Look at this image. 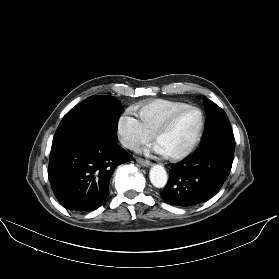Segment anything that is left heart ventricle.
<instances>
[{
    "label": "left heart ventricle",
    "instance_id": "b2bd125f",
    "mask_svg": "<svg viewBox=\"0 0 279 279\" xmlns=\"http://www.w3.org/2000/svg\"><path fill=\"white\" fill-rule=\"evenodd\" d=\"M198 125L199 114L195 110H186L176 118L169 131L157 140V144L166 156L178 154L190 144Z\"/></svg>",
    "mask_w": 279,
    "mask_h": 279
}]
</instances>
